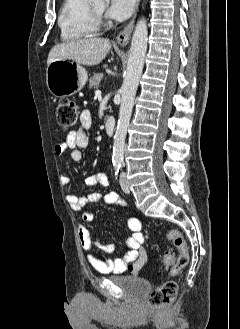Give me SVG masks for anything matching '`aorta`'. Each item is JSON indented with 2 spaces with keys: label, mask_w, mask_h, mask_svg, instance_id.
Segmentation results:
<instances>
[{
  "label": "aorta",
  "mask_w": 240,
  "mask_h": 329,
  "mask_svg": "<svg viewBox=\"0 0 240 329\" xmlns=\"http://www.w3.org/2000/svg\"><path fill=\"white\" fill-rule=\"evenodd\" d=\"M92 2L95 4H108L109 0H92ZM147 40V22L145 18H142L138 21L133 33L129 59L121 87V105L112 156V162L115 166H120L123 162L125 138L134 106L135 94L144 67Z\"/></svg>",
  "instance_id": "obj_1"
}]
</instances>
